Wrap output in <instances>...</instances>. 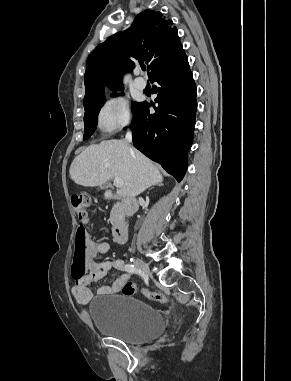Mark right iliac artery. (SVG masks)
<instances>
[{"instance_id":"right-iliac-artery-1","label":"right iliac artery","mask_w":291,"mask_h":381,"mask_svg":"<svg viewBox=\"0 0 291 381\" xmlns=\"http://www.w3.org/2000/svg\"><path fill=\"white\" fill-rule=\"evenodd\" d=\"M125 270L128 271L129 273H134V274H137L139 272V270L133 264H126Z\"/></svg>"}]
</instances>
